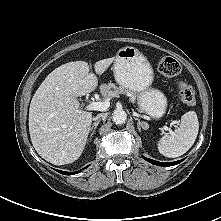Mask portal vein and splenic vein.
<instances>
[{
	"label": "portal vein and splenic vein",
	"mask_w": 221,
	"mask_h": 221,
	"mask_svg": "<svg viewBox=\"0 0 221 221\" xmlns=\"http://www.w3.org/2000/svg\"><path fill=\"white\" fill-rule=\"evenodd\" d=\"M110 102L109 99H105L104 101L99 102H92L89 105H87V110H97V111H105L109 108ZM179 121L174 120L170 123V126L172 125H179ZM167 130H171L170 128H167Z\"/></svg>",
	"instance_id": "18ae733b"
}]
</instances>
